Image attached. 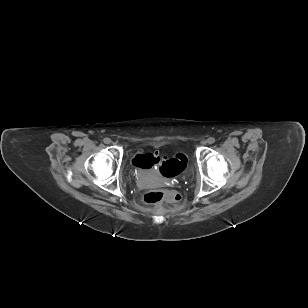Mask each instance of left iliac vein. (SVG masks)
Wrapping results in <instances>:
<instances>
[{"instance_id": "left-iliac-vein-1", "label": "left iliac vein", "mask_w": 308, "mask_h": 308, "mask_svg": "<svg viewBox=\"0 0 308 308\" xmlns=\"http://www.w3.org/2000/svg\"><path fill=\"white\" fill-rule=\"evenodd\" d=\"M207 142H204L203 144L206 145Z\"/></svg>"}]
</instances>
